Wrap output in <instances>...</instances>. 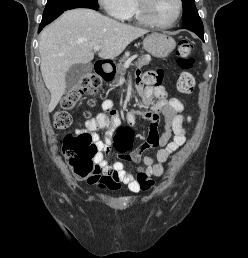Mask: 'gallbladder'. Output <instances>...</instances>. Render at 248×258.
I'll return each mask as SVG.
<instances>
[{"label":"gallbladder","instance_id":"1","mask_svg":"<svg viewBox=\"0 0 248 258\" xmlns=\"http://www.w3.org/2000/svg\"><path fill=\"white\" fill-rule=\"evenodd\" d=\"M92 70L93 65L91 63L72 65L65 75L66 91H70L78 84L82 77L91 73Z\"/></svg>","mask_w":248,"mask_h":258}]
</instances>
